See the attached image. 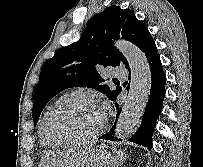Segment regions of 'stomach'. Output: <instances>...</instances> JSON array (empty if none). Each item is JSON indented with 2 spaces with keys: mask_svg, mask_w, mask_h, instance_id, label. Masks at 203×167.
<instances>
[{
  "mask_svg": "<svg viewBox=\"0 0 203 167\" xmlns=\"http://www.w3.org/2000/svg\"><path fill=\"white\" fill-rule=\"evenodd\" d=\"M121 161L122 156L117 152L111 155L104 146H100L91 150L80 167H118Z\"/></svg>",
  "mask_w": 203,
  "mask_h": 167,
  "instance_id": "stomach-1",
  "label": "stomach"
}]
</instances>
